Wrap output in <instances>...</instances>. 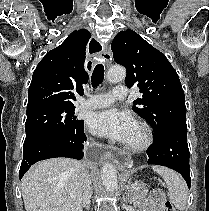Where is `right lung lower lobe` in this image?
Returning <instances> with one entry per match:
<instances>
[{"label": "right lung lower lobe", "instance_id": "obj_1", "mask_svg": "<svg viewBox=\"0 0 209 211\" xmlns=\"http://www.w3.org/2000/svg\"><path fill=\"white\" fill-rule=\"evenodd\" d=\"M83 128L74 133L53 137L36 145L26 153H23L19 178L21 179L23 177L31 165L40 160L55 157L82 159V143L87 139Z\"/></svg>", "mask_w": 209, "mask_h": 211}]
</instances>
